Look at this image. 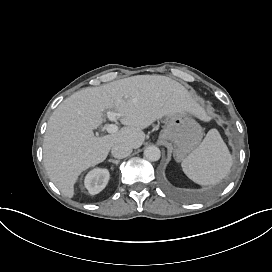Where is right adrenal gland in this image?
<instances>
[{
    "label": "right adrenal gland",
    "instance_id": "obj_1",
    "mask_svg": "<svg viewBox=\"0 0 272 272\" xmlns=\"http://www.w3.org/2000/svg\"><path fill=\"white\" fill-rule=\"evenodd\" d=\"M108 161L112 162V163H114L116 165L120 162V160H115V159H109Z\"/></svg>",
    "mask_w": 272,
    "mask_h": 272
}]
</instances>
